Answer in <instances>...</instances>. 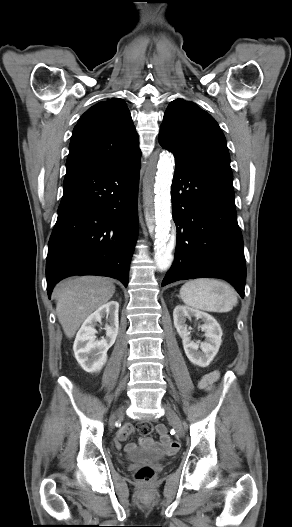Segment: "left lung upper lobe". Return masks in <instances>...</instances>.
Returning a JSON list of instances; mask_svg holds the SVG:
<instances>
[{
	"mask_svg": "<svg viewBox=\"0 0 292 527\" xmlns=\"http://www.w3.org/2000/svg\"><path fill=\"white\" fill-rule=\"evenodd\" d=\"M159 143L176 164L232 177L226 139L217 122L195 103L176 99L166 109Z\"/></svg>",
	"mask_w": 292,
	"mask_h": 527,
	"instance_id": "1",
	"label": "left lung upper lobe"
}]
</instances>
